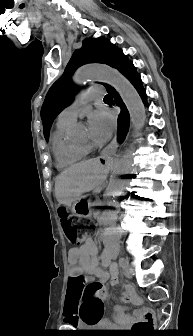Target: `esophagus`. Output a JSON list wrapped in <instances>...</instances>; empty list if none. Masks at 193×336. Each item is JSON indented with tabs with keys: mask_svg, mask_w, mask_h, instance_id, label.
<instances>
[{
	"mask_svg": "<svg viewBox=\"0 0 193 336\" xmlns=\"http://www.w3.org/2000/svg\"><path fill=\"white\" fill-rule=\"evenodd\" d=\"M119 143L117 140V136H115L112 141L102 150L99 161L105 160L107 157L113 156L116 154Z\"/></svg>",
	"mask_w": 193,
	"mask_h": 336,
	"instance_id": "34e87169",
	"label": "esophagus"
}]
</instances>
